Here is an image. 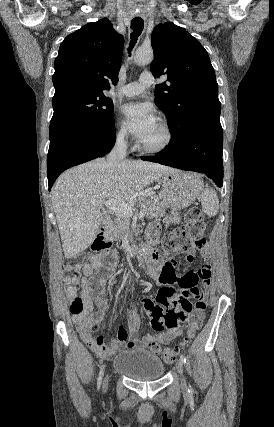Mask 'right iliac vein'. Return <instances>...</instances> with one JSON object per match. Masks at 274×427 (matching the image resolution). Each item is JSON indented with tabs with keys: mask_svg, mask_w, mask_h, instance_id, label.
I'll return each mask as SVG.
<instances>
[{
	"mask_svg": "<svg viewBox=\"0 0 274 427\" xmlns=\"http://www.w3.org/2000/svg\"><path fill=\"white\" fill-rule=\"evenodd\" d=\"M109 373H106L104 380H103V390L106 391L109 385Z\"/></svg>",
	"mask_w": 274,
	"mask_h": 427,
	"instance_id": "obj_1",
	"label": "right iliac vein"
}]
</instances>
